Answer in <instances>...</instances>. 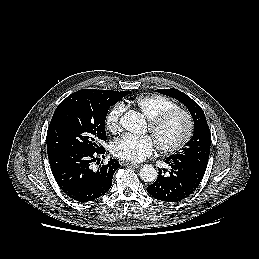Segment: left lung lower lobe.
Returning <instances> with one entry per match:
<instances>
[{
  "mask_svg": "<svg viewBox=\"0 0 259 259\" xmlns=\"http://www.w3.org/2000/svg\"><path fill=\"white\" fill-rule=\"evenodd\" d=\"M165 162L171 166L170 175L163 176L159 169L157 180L147 187L150 195L165 202H177L188 197L198 187L206 171L187 160L170 157Z\"/></svg>",
  "mask_w": 259,
  "mask_h": 259,
  "instance_id": "obj_1",
  "label": "left lung lower lobe"
}]
</instances>
